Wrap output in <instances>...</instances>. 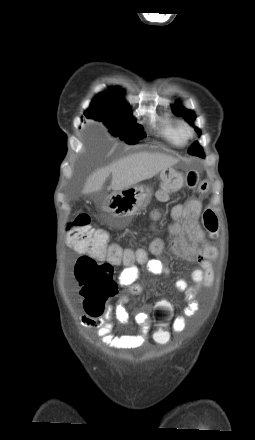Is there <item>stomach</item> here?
<instances>
[{
    "mask_svg": "<svg viewBox=\"0 0 255 440\" xmlns=\"http://www.w3.org/2000/svg\"><path fill=\"white\" fill-rule=\"evenodd\" d=\"M171 168L162 170V176ZM151 190L145 186H131L121 191H114L101 204L104 212L108 213L115 221L125 225L134 215L142 211L150 203Z\"/></svg>",
    "mask_w": 255,
    "mask_h": 440,
    "instance_id": "stomach-1",
    "label": "stomach"
}]
</instances>
